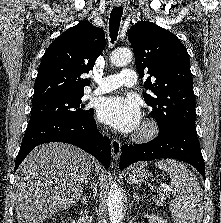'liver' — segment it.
Here are the masks:
<instances>
[{
	"instance_id": "liver-1",
	"label": "liver",
	"mask_w": 221,
	"mask_h": 223,
	"mask_svg": "<svg viewBox=\"0 0 221 223\" xmlns=\"http://www.w3.org/2000/svg\"><path fill=\"white\" fill-rule=\"evenodd\" d=\"M94 158L64 143L34 148L15 174L18 223H43L75 205L93 171Z\"/></svg>"
}]
</instances>
